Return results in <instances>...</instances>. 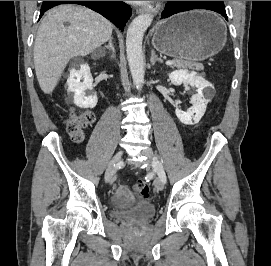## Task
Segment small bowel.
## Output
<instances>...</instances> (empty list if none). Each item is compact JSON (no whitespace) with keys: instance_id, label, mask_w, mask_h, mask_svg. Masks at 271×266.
<instances>
[{"instance_id":"small-bowel-1","label":"small bowel","mask_w":271,"mask_h":266,"mask_svg":"<svg viewBox=\"0 0 271 266\" xmlns=\"http://www.w3.org/2000/svg\"><path fill=\"white\" fill-rule=\"evenodd\" d=\"M133 200L134 196L126 185H120L113 196V202L118 206L128 204Z\"/></svg>"}]
</instances>
